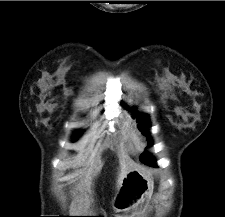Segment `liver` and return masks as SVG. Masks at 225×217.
<instances>
[{
    "label": "liver",
    "instance_id": "liver-1",
    "mask_svg": "<svg viewBox=\"0 0 225 217\" xmlns=\"http://www.w3.org/2000/svg\"><path fill=\"white\" fill-rule=\"evenodd\" d=\"M120 165H121V169H120V173H119L118 180H117L118 188L122 185L123 179L129 172L130 166H131L129 163H127L125 161H121ZM89 179H90V177H89Z\"/></svg>",
    "mask_w": 225,
    "mask_h": 217
}]
</instances>
